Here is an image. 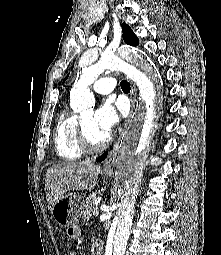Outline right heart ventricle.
Segmentation results:
<instances>
[{
	"label": "right heart ventricle",
	"instance_id": "1",
	"mask_svg": "<svg viewBox=\"0 0 221 255\" xmlns=\"http://www.w3.org/2000/svg\"><path fill=\"white\" fill-rule=\"evenodd\" d=\"M79 119L69 110L59 115L54 129V145L58 156L65 161H77L84 155L78 135Z\"/></svg>",
	"mask_w": 221,
	"mask_h": 255
}]
</instances>
